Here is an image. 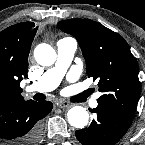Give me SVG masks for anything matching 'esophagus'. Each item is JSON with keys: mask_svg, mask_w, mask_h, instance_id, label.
Wrapping results in <instances>:
<instances>
[{"mask_svg": "<svg viewBox=\"0 0 145 145\" xmlns=\"http://www.w3.org/2000/svg\"><path fill=\"white\" fill-rule=\"evenodd\" d=\"M57 105H58L60 108H68V107H71V103L68 102V101H65V100H60V101H58Z\"/></svg>", "mask_w": 145, "mask_h": 145, "instance_id": "esophagus-1", "label": "esophagus"}]
</instances>
